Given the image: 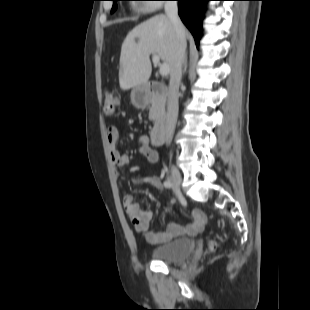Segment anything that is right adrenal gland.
Returning a JSON list of instances; mask_svg holds the SVG:
<instances>
[{"mask_svg":"<svg viewBox=\"0 0 310 310\" xmlns=\"http://www.w3.org/2000/svg\"><path fill=\"white\" fill-rule=\"evenodd\" d=\"M186 70H187V54L185 55V58H184L183 73H185Z\"/></svg>","mask_w":310,"mask_h":310,"instance_id":"1","label":"right adrenal gland"}]
</instances>
